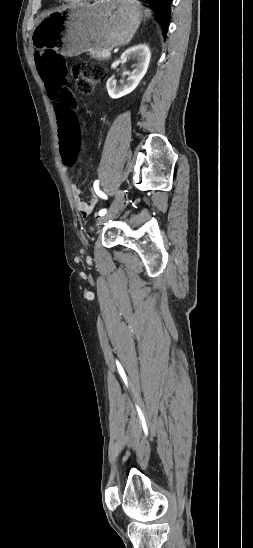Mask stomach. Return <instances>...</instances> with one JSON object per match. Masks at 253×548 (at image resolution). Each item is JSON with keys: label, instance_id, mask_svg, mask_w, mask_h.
I'll list each match as a JSON object with an SVG mask.
<instances>
[{"label": "stomach", "instance_id": "obj_1", "mask_svg": "<svg viewBox=\"0 0 253 548\" xmlns=\"http://www.w3.org/2000/svg\"><path fill=\"white\" fill-rule=\"evenodd\" d=\"M143 17L136 0H97L66 6L33 31L35 46L58 45L66 56L85 51H109L130 42Z\"/></svg>", "mask_w": 253, "mask_h": 548}]
</instances>
